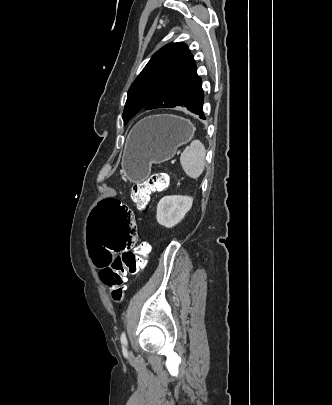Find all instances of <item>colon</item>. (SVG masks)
Wrapping results in <instances>:
<instances>
[{
	"label": "colon",
	"mask_w": 332,
	"mask_h": 405,
	"mask_svg": "<svg viewBox=\"0 0 332 405\" xmlns=\"http://www.w3.org/2000/svg\"><path fill=\"white\" fill-rule=\"evenodd\" d=\"M170 185L166 173H154L131 189V199L140 207L147 205L151 192L163 191ZM90 248L92 268H103L100 277L109 288L110 297L119 302L125 294L127 275H135L146 265L150 245L142 242L136 247L139 227H135L134 213L119 197H104L94 202L89 214ZM112 257H116L112 259Z\"/></svg>",
	"instance_id": "obj_1"
}]
</instances>
